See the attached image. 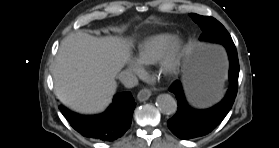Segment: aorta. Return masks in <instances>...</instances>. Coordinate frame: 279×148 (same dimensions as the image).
Here are the masks:
<instances>
[{
  "mask_svg": "<svg viewBox=\"0 0 279 148\" xmlns=\"http://www.w3.org/2000/svg\"><path fill=\"white\" fill-rule=\"evenodd\" d=\"M156 105L166 115L174 114L177 110V101L169 94H160L156 99Z\"/></svg>",
  "mask_w": 279,
  "mask_h": 148,
  "instance_id": "obj_1",
  "label": "aorta"
}]
</instances>
